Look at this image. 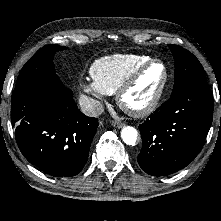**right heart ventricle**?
<instances>
[{
	"label": "right heart ventricle",
	"instance_id": "e07e8e85",
	"mask_svg": "<svg viewBox=\"0 0 221 221\" xmlns=\"http://www.w3.org/2000/svg\"><path fill=\"white\" fill-rule=\"evenodd\" d=\"M150 59L146 55L114 54L95 60L89 72L93 82L105 94L112 95L138 66Z\"/></svg>",
	"mask_w": 221,
	"mask_h": 221
}]
</instances>
